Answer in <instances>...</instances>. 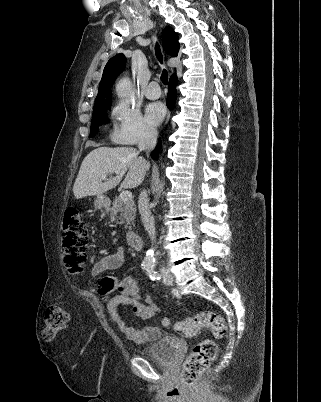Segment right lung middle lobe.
I'll return each instance as SVG.
<instances>
[{
    "instance_id": "obj_1",
    "label": "right lung middle lobe",
    "mask_w": 321,
    "mask_h": 402,
    "mask_svg": "<svg viewBox=\"0 0 321 402\" xmlns=\"http://www.w3.org/2000/svg\"><path fill=\"white\" fill-rule=\"evenodd\" d=\"M110 109H111V104L93 109L91 132H90L91 137H93L98 132V130H99L98 127L102 123L108 122L107 110H110Z\"/></svg>"
}]
</instances>
